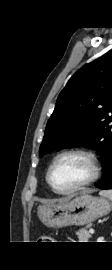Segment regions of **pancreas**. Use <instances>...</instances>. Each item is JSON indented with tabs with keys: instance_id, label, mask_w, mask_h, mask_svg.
<instances>
[{
	"instance_id": "obj_1",
	"label": "pancreas",
	"mask_w": 112,
	"mask_h": 270,
	"mask_svg": "<svg viewBox=\"0 0 112 270\" xmlns=\"http://www.w3.org/2000/svg\"><path fill=\"white\" fill-rule=\"evenodd\" d=\"M76 234L78 236L79 242H88V239L91 237L86 228L78 230Z\"/></svg>"
}]
</instances>
